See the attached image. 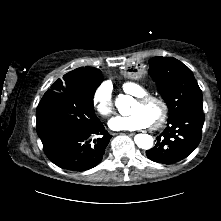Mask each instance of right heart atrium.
I'll return each instance as SVG.
<instances>
[{
  "instance_id": "d8ad5b80",
  "label": "right heart atrium",
  "mask_w": 221,
  "mask_h": 221,
  "mask_svg": "<svg viewBox=\"0 0 221 221\" xmlns=\"http://www.w3.org/2000/svg\"><path fill=\"white\" fill-rule=\"evenodd\" d=\"M92 102L102 117H110L114 113L113 93L110 84L104 82L99 85L94 91Z\"/></svg>"
}]
</instances>
